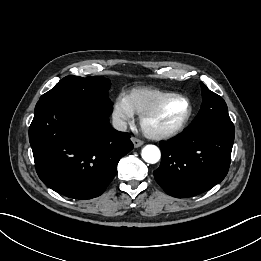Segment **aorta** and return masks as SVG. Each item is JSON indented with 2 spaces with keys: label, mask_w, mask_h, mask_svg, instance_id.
<instances>
[{
  "label": "aorta",
  "mask_w": 261,
  "mask_h": 261,
  "mask_svg": "<svg viewBox=\"0 0 261 261\" xmlns=\"http://www.w3.org/2000/svg\"><path fill=\"white\" fill-rule=\"evenodd\" d=\"M141 155H142L143 160L150 164L157 163L161 157L160 150L155 145H146L142 149Z\"/></svg>",
  "instance_id": "762f6f07"
}]
</instances>
